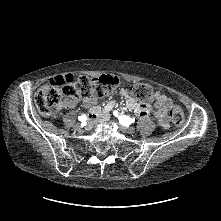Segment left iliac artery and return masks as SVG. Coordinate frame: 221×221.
I'll list each match as a JSON object with an SVG mask.
<instances>
[{
  "label": "left iliac artery",
  "instance_id": "44dca946",
  "mask_svg": "<svg viewBox=\"0 0 221 221\" xmlns=\"http://www.w3.org/2000/svg\"><path fill=\"white\" fill-rule=\"evenodd\" d=\"M113 114L115 115V116H118V113H117V111H114L113 112ZM135 121V118H130L129 116H126V115H121L120 117H119V122H120V124L121 125H123V126H129L131 123H133Z\"/></svg>",
  "mask_w": 221,
  "mask_h": 221
}]
</instances>
